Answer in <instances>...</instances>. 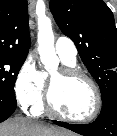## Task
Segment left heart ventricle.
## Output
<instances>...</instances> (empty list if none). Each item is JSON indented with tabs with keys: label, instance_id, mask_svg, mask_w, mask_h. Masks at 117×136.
<instances>
[{
	"label": "left heart ventricle",
	"instance_id": "1",
	"mask_svg": "<svg viewBox=\"0 0 117 136\" xmlns=\"http://www.w3.org/2000/svg\"><path fill=\"white\" fill-rule=\"evenodd\" d=\"M58 72L52 76L57 77ZM53 101L61 112L75 118L89 116L95 106L92 88L80 78L57 81L53 89Z\"/></svg>",
	"mask_w": 117,
	"mask_h": 136
}]
</instances>
